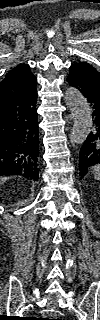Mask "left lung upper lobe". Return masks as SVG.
<instances>
[{
	"label": "left lung upper lobe",
	"instance_id": "left-lung-upper-lobe-1",
	"mask_svg": "<svg viewBox=\"0 0 100 320\" xmlns=\"http://www.w3.org/2000/svg\"><path fill=\"white\" fill-rule=\"evenodd\" d=\"M70 72L78 74L87 81L95 84L100 89V73L88 63H75L70 67Z\"/></svg>",
	"mask_w": 100,
	"mask_h": 320
}]
</instances>
